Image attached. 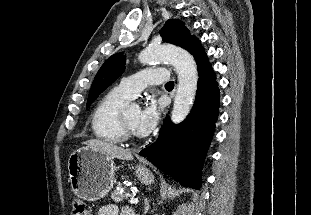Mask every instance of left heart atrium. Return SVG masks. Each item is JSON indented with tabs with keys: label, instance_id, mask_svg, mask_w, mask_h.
I'll list each match as a JSON object with an SVG mask.
<instances>
[{
	"label": "left heart atrium",
	"instance_id": "left-heart-atrium-1",
	"mask_svg": "<svg viewBox=\"0 0 311 215\" xmlns=\"http://www.w3.org/2000/svg\"><path fill=\"white\" fill-rule=\"evenodd\" d=\"M159 106L155 101L148 102L139 112L134 124V132L140 137L147 136L157 125Z\"/></svg>",
	"mask_w": 311,
	"mask_h": 215
}]
</instances>
